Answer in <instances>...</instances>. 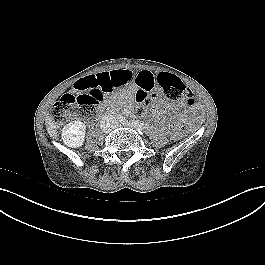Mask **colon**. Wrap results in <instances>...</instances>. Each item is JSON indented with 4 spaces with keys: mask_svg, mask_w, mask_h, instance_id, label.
Returning a JSON list of instances; mask_svg holds the SVG:
<instances>
[{
    "mask_svg": "<svg viewBox=\"0 0 265 265\" xmlns=\"http://www.w3.org/2000/svg\"><path fill=\"white\" fill-rule=\"evenodd\" d=\"M159 86L161 94H152L149 92L150 89H142L136 93L138 115H143L151 104L161 105L165 98L171 101H183V108L188 112L198 110V98L190 94L177 76L169 73L160 74ZM116 88V85L104 76L84 77L74 84L73 93L64 94L53 105L50 118L53 123L60 124L74 116L93 117L105 94Z\"/></svg>",
    "mask_w": 265,
    "mask_h": 265,
    "instance_id": "colon-1",
    "label": "colon"
}]
</instances>
